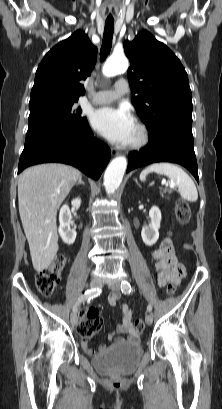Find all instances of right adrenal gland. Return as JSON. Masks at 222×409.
<instances>
[{
    "instance_id": "right-adrenal-gland-1",
    "label": "right adrenal gland",
    "mask_w": 222,
    "mask_h": 409,
    "mask_svg": "<svg viewBox=\"0 0 222 409\" xmlns=\"http://www.w3.org/2000/svg\"><path fill=\"white\" fill-rule=\"evenodd\" d=\"M80 184L83 185V186L85 185V183L82 181L81 177L79 178L78 182L75 185L77 186V185H80Z\"/></svg>"
}]
</instances>
